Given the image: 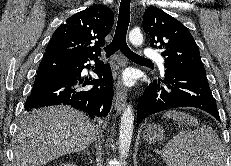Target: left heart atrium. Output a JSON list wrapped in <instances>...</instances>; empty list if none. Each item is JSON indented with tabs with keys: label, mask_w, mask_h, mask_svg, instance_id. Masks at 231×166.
Returning <instances> with one entry per match:
<instances>
[{
	"label": "left heart atrium",
	"mask_w": 231,
	"mask_h": 166,
	"mask_svg": "<svg viewBox=\"0 0 231 166\" xmlns=\"http://www.w3.org/2000/svg\"><path fill=\"white\" fill-rule=\"evenodd\" d=\"M122 81L127 84L130 85L133 83L134 81V76L130 71H126L125 73H123L122 75Z\"/></svg>",
	"instance_id": "obj_1"
}]
</instances>
